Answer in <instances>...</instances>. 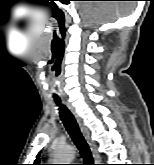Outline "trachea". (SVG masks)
<instances>
[{
    "label": "trachea",
    "instance_id": "obj_1",
    "mask_svg": "<svg viewBox=\"0 0 154 165\" xmlns=\"http://www.w3.org/2000/svg\"><path fill=\"white\" fill-rule=\"evenodd\" d=\"M54 100L56 104L59 106L60 118L68 134L73 140L74 144L77 146L85 162V165H93V158L91 155L90 148L80 131V128L78 126V123L76 122V119L65 106L61 105V101L59 98H55Z\"/></svg>",
    "mask_w": 154,
    "mask_h": 165
}]
</instances>
